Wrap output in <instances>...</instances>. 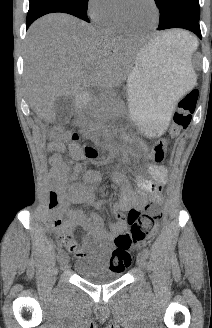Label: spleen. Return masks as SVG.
<instances>
[{"label": "spleen", "mask_w": 212, "mask_h": 328, "mask_svg": "<svg viewBox=\"0 0 212 328\" xmlns=\"http://www.w3.org/2000/svg\"><path fill=\"white\" fill-rule=\"evenodd\" d=\"M176 36H172L170 40H165L167 42H170L179 48L182 49V51L188 56L191 57L193 52L198 47V41L197 39L190 33L186 31H176ZM164 40V39H163Z\"/></svg>", "instance_id": "spleen-1"}]
</instances>
